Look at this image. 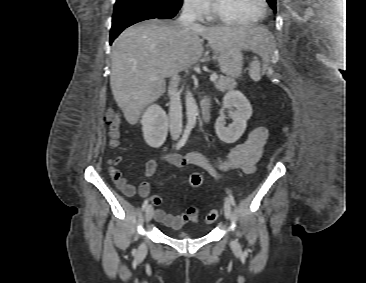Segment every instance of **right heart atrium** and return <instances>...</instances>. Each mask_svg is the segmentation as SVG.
<instances>
[{"instance_id":"d8ad5b80","label":"right heart atrium","mask_w":366,"mask_h":283,"mask_svg":"<svg viewBox=\"0 0 366 283\" xmlns=\"http://www.w3.org/2000/svg\"><path fill=\"white\" fill-rule=\"evenodd\" d=\"M184 8L195 18L206 16L211 8L210 0H183Z\"/></svg>"}]
</instances>
